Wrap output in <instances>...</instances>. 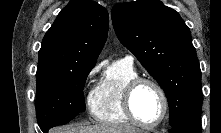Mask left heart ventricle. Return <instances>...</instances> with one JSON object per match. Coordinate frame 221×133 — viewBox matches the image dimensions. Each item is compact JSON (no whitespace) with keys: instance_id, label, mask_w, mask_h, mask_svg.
I'll use <instances>...</instances> for the list:
<instances>
[{"instance_id":"obj_1","label":"left heart ventricle","mask_w":221,"mask_h":133,"mask_svg":"<svg viewBox=\"0 0 221 133\" xmlns=\"http://www.w3.org/2000/svg\"><path fill=\"white\" fill-rule=\"evenodd\" d=\"M133 108L137 117L146 123H153L162 113V101L157 90L149 85H141L134 94Z\"/></svg>"}]
</instances>
